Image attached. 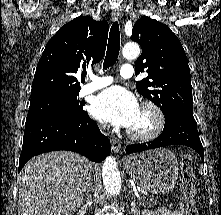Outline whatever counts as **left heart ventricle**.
<instances>
[{"mask_svg":"<svg viewBox=\"0 0 221 215\" xmlns=\"http://www.w3.org/2000/svg\"><path fill=\"white\" fill-rule=\"evenodd\" d=\"M153 125V118L147 111H144L140 109L139 114L133 123V125L130 127V129L136 131V132H145L149 130Z\"/></svg>","mask_w":221,"mask_h":215,"instance_id":"1","label":"left heart ventricle"}]
</instances>
